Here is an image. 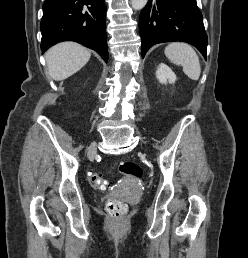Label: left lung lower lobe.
<instances>
[{
  "label": "left lung lower lobe",
  "instance_id": "left-lung-lower-lobe-1",
  "mask_svg": "<svg viewBox=\"0 0 248 258\" xmlns=\"http://www.w3.org/2000/svg\"><path fill=\"white\" fill-rule=\"evenodd\" d=\"M142 57L155 44L183 41L206 59L207 34L196 0H148L139 17Z\"/></svg>",
  "mask_w": 248,
  "mask_h": 258
}]
</instances>
